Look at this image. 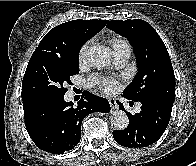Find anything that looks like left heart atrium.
<instances>
[{"label":"left heart atrium","mask_w":196,"mask_h":166,"mask_svg":"<svg viewBox=\"0 0 196 166\" xmlns=\"http://www.w3.org/2000/svg\"><path fill=\"white\" fill-rule=\"evenodd\" d=\"M89 84L108 93L114 92L119 87V83L116 80L110 77H100L98 75L90 77Z\"/></svg>","instance_id":"obj_1"}]
</instances>
